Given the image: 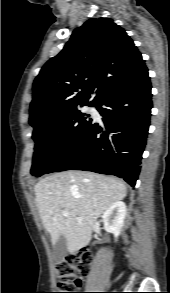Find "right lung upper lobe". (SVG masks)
<instances>
[{
  "label": "right lung upper lobe",
  "instance_id": "obj_1",
  "mask_svg": "<svg viewBox=\"0 0 170 293\" xmlns=\"http://www.w3.org/2000/svg\"><path fill=\"white\" fill-rule=\"evenodd\" d=\"M145 68L133 41L112 19H90L36 77L29 123L37 128L78 105H95Z\"/></svg>",
  "mask_w": 170,
  "mask_h": 293
}]
</instances>
